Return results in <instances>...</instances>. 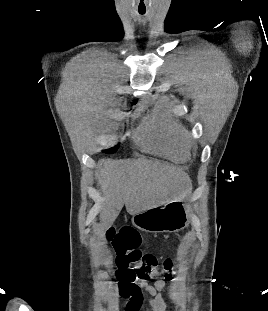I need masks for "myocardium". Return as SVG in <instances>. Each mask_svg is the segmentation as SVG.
Returning <instances> with one entry per match:
<instances>
[{
    "label": "myocardium",
    "instance_id": "obj_1",
    "mask_svg": "<svg viewBox=\"0 0 268 311\" xmlns=\"http://www.w3.org/2000/svg\"><path fill=\"white\" fill-rule=\"evenodd\" d=\"M184 138L187 144H192V139L185 137V133H184Z\"/></svg>",
    "mask_w": 268,
    "mask_h": 311
}]
</instances>
